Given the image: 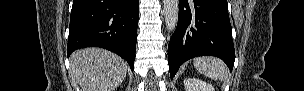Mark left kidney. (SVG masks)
Wrapping results in <instances>:
<instances>
[{
  "instance_id": "1",
  "label": "left kidney",
  "mask_w": 304,
  "mask_h": 91,
  "mask_svg": "<svg viewBox=\"0 0 304 91\" xmlns=\"http://www.w3.org/2000/svg\"><path fill=\"white\" fill-rule=\"evenodd\" d=\"M186 91H215L211 84L195 78H186L184 80Z\"/></svg>"
}]
</instances>
